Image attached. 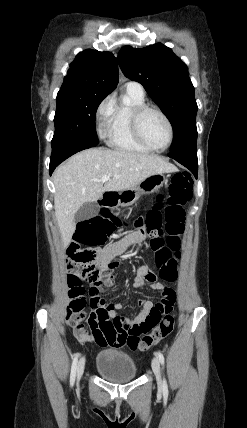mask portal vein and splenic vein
I'll return each instance as SVG.
<instances>
[{
  "instance_id": "18ae733b",
  "label": "portal vein and splenic vein",
  "mask_w": 247,
  "mask_h": 428,
  "mask_svg": "<svg viewBox=\"0 0 247 428\" xmlns=\"http://www.w3.org/2000/svg\"><path fill=\"white\" fill-rule=\"evenodd\" d=\"M110 179V176L109 175H105V176H103L101 179H100V181L101 182H106V181H108Z\"/></svg>"
}]
</instances>
